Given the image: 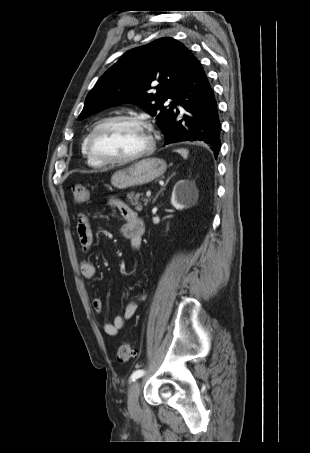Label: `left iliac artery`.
I'll use <instances>...</instances> for the list:
<instances>
[{
  "instance_id": "left-iliac-artery-1",
  "label": "left iliac artery",
  "mask_w": 310,
  "mask_h": 453,
  "mask_svg": "<svg viewBox=\"0 0 310 453\" xmlns=\"http://www.w3.org/2000/svg\"><path fill=\"white\" fill-rule=\"evenodd\" d=\"M144 375V370H136L132 373L131 377H130V381L133 382L135 381L136 379L140 378L141 376Z\"/></svg>"
}]
</instances>
